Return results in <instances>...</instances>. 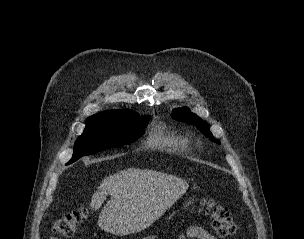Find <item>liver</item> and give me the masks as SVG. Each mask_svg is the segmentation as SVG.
Returning <instances> with one entry per match:
<instances>
[{
	"instance_id": "6515ba94",
	"label": "liver",
	"mask_w": 304,
	"mask_h": 239,
	"mask_svg": "<svg viewBox=\"0 0 304 239\" xmlns=\"http://www.w3.org/2000/svg\"><path fill=\"white\" fill-rule=\"evenodd\" d=\"M189 188L176 176L128 168L106 177L93 194L92 209L110 200L99 215L102 230L120 236L140 232L158 220Z\"/></svg>"
}]
</instances>
